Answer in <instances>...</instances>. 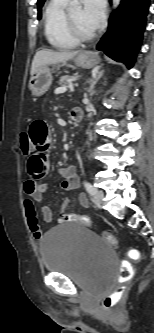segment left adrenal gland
<instances>
[{
	"instance_id": "obj_1",
	"label": "left adrenal gland",
	"mask_w": 154,
	"mask_h": 333,
	"mask_svg": "<svg viewBox=\"0 0 154 333\" xmlns=\"http://www.w3.org/2000/svg\"><path fill=\"white\" fill-rule=\"evenodd\" d=\"M103 72H104L103 70L99 71L97 73V75L91 79V81H90V88H89L88 92L91 93L94 90L95 85L97 84L98 80L102 77Z\"/></svg>"
}]
</instances>
